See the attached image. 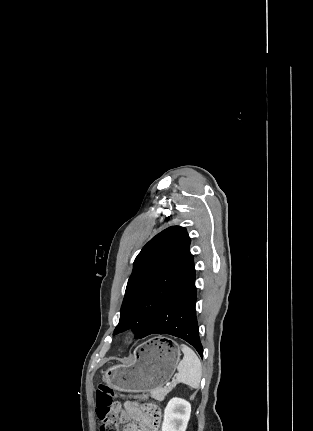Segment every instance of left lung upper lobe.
<instances>
[{
    "instance_id": "1",
    "label": "left lung upper lobe",
    "mask_w": 313,
    "mask_h": 431,
    "mask_svg": "<svg viewBox=\"0 0 313 431\" xmlns=\"http://www.w3.org/2000/svg\"><path fill=\"white\" fill-rule=\"evenodd\" d=\"M189 246L186 229L172 226L142 248L134 261L115 331L132 328L138 338L161 308L195 278Z\"/></svg>"
}]
</instances>
